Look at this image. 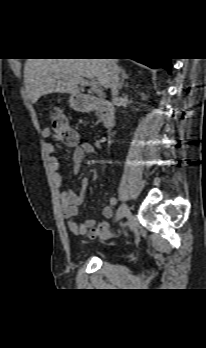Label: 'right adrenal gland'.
Here are the masks:
<instances>
[{"instance_id":"right-adrenal-gland-1","label":"right adrenal gland","mask_w":206,"mask_h":348,"mask_svg":"<svg viewBox=\"0 0 206 348\" xmlns=\"http://www.w3.org/2000/svg\"><path fill=\"white\" fill-rule=\"evenodd\" d=\"M121 82H120V89H122V87H127V85H125V79L129 78V75L126 74L125 70L121 67Z\"/></svg>"}]
</instances>
